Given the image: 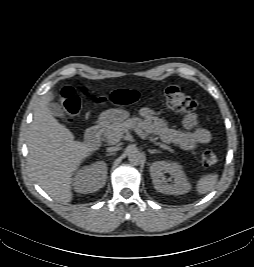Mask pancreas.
I'll use <instances>...</instances> for the list:
<instances>
[{
	"label": "pancreas",
	"mask_w": 254,
	"mask_h": 267,
	"mask_svg": "<svg viewBox=\"0 0 254 267\" xmlns=\"http://www.w3.org/2000/svg\"><path fill=\"white\" fill-rule=\"evenodd\" d=\"M141 119L140 118H130L124 122H115L111 125H108L104 128V131H103V134H104V137L110 141L112 140L113 138H116L117 136L121 138L122 134L128 132L129 129H132L134 127H136L137 125H139L141 123ZM146 136H148L149 134L148 133H144ZM149 140L151 142H154L155 145H158L160 146L161 148L165 149V150H168L170 152H174V150L166 145V144H163L161 142H157V138H154L152 136L148 137Z\"/></svg>",
	"instance_id": "obj_1"
}]
</instances>
